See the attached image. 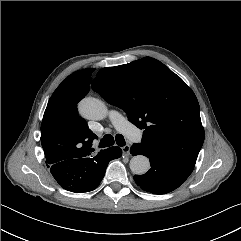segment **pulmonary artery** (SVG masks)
I'll use <instances>...</instances> for the list:
<instances>
[{
	"mask_svg": "<svg viewBox=\"0 0 241 241\" xmlns=\"http://www.w3.org/2000/svg\"><path fill=\"white\" fill-rule=\"evenodd\" d=\"M110 117L117 130L125 134L131 140L140 141V134L137 128L134 127L125 117L116 111H111Z\"/></svg>",
	"mask_w": 241,
	"mask_h": 241,
	"instance_id": "pulmonary-artery-1",
	"label": "pulmonary artery"
}]
</instances>
